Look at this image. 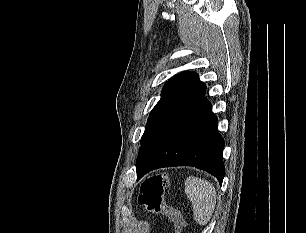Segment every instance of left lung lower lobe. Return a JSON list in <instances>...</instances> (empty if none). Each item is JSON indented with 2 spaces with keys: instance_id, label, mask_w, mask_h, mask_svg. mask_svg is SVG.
<instances>
[{
  "instance_id": "0a47b994",
  "label": "left lung lower lobe",
  "mask_w": 306,
  "mask_h": 233,
  "mask_svg": "<svg viewBox=\"0 0 306 233\" xmlns=\"http://www.w3.org/2000/svg\"><path fill=\"white\" fill-rule=\"evenodd\" d=\"M217 127L211 103L203 97L161 138L137 170V178L162 167L193 166L217 177L221 185L224 140Z\"/></svg>"
}]
</instances>
